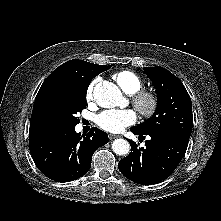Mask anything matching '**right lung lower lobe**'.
<instances>
[{"label":"right lung lower lobe","mask_w":221,"mask_h":221,"mask_svg":"<svg viewBox=\"0 0 221 221\" xmlns=\"http://www.w3.org/2000/svg\"><path fill=\"white\" fill-rule=\"evenodd\" d=\"M108 142V135L93 127L85 136L74 127L29 136V146L38 169L57 182L76 180L87 173L97 148Z\"/></svg>","instance_id":"right-lung-lower-lobe-1"}]
</instances>
